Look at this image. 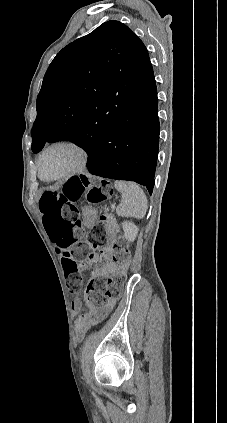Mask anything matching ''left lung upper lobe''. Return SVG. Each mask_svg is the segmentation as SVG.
Segmentation results:
<instances>
[{
  "mask_svg": "<svg viewBox=\"0 0 227 423\" xmlns=\"http://www.w3.org/2000/svg\"><path fill=\"white\" fill-rule=\"evenodd\" d=\"M154 82L143 42L119 21L103 23L49 65L37 97L32 151L94 134L108 112H140Z\"/></svg>",
  "mask_w": 227,
  "mask_h": 423,
  "instance_id": "left-lung-upper-lobe-1",
  "label": "left lung upper lobe"
}]
</instances>
